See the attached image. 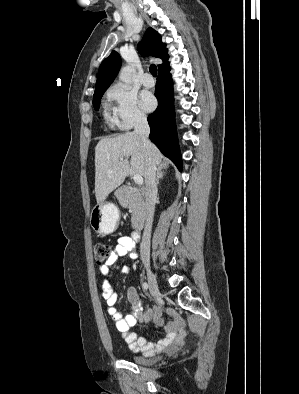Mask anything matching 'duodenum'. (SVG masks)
<instances>
[{
  "mask_svg": "<svg viewBox=\"0 0 299 394\" xmlns=\"http://www.w3.org/2000/svg\"><path fill=\"white\" fill-rule=\"evenodd\" d=\"M141 237V228L138 227L132 232V238L134 241H139Z\"/></svg>",
  "mask_w": 299,
  "mask_h": 394,
  "instance_id": "1",
  "label": "duodenum"
}]
</instances>
